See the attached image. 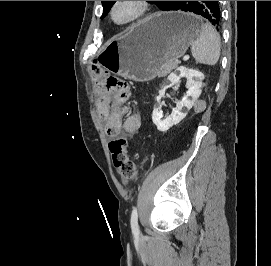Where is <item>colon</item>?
<instances>
[{
	"label": "colon",
	"mask_w": 271,
	"mask_h": 266,
	"mask_svg": "<svg viewBox=\"0 0 271 266\" xmlns=\"http://www.w3.org/2000/svg\"><path fill=\"white\" fill-rule=\"evenodd\" d=\"M91 77L94 85L101 92L111 93L120 98H127L130 95L129 86L124 80L108 75L98 65L92 66ZM109 150L120 176L125 180L135 179L137 166L128 155L127 140L124 137L113 139L109 143Z\"/></svg>",
	"instance_id": "obj_1"
}]
</instances>
